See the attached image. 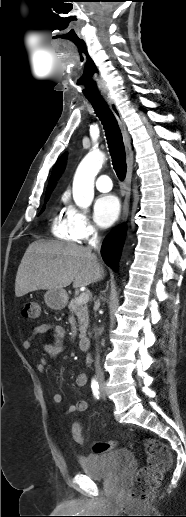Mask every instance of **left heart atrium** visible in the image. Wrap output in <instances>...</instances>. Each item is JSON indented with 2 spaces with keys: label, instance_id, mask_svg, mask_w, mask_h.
Wrapping results in <instances>:
<instances>
[{
  "label": "left heart atrium",
  "instance_id": "left-heart-atrium-1",
  "mask_svg": "<svg viewBox=\"0 0 186 517\" xmlns=\"http://www.w3.org/2000/svg\"><path fill=\"white\" fill-rule=\"evenodd\" d=\"M119 212V200L113 195L101 196L94 204L95 220L103 228L112 225L118 218Z\"/></svg>",
  "mask_w": 186,
  "mask_h": 517
}]
</instances>
